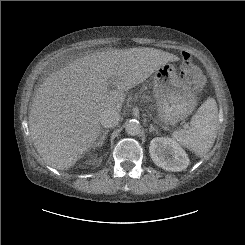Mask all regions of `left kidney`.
Segmentation results:
<instances>
[{"mask_svg": "<svg viewBox=\"0 0 245 245\" xmlns=\"http://www.w3.org/2000/svg\"><path fill=\"white\" fill-rule=\"evenodd\" d=\"M149 152L153 162L167 171H182L189 165L186 152L170 138H153Z\"/></svg>", "mask_w": 245, "mask_h": 245, "instance_id": "left-kidney-1", "label": "left kidney"}]
</instances>
